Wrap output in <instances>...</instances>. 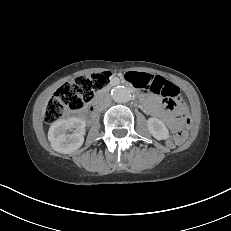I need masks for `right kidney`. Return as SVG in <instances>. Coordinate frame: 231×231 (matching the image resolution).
Masks as SVG:
<instances>
[{"instance_id":"ca27d5eb","label":"right kidney","mask_w":231,"mask_h":231,"mask_svg":"<svg viewBox=\"0 0 231 231\" xmlns=\"http://www.w3.org/2000/svg\"><path fill=\"white\" fill-rule=\"evenodd\" d=\"M85 121L79 118L57 120L52 123L48 131L51 147L63 154L79 149L84 142ZM74 130L72 134L67 131Z\"/></svg>"}]
</instances>
